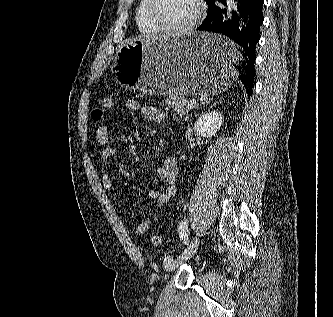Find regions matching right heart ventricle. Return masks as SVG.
Masks as SVG:
<instances>
[{
  "instance_id": "obj_1",
  "label": "right heart ventricle",
  "mask_w": 333,
  "mask_h": 317,
  "mask_svg": "<svg viewBox=\"0 0 333 317\" xmlns=\"http://www.w3.org/2000/svg\"><path fill=\"white\" fill-rule=\"evenodd\" d=\"M147 0H140L136 9V24L140 32L144 34H156L160 30L149 20L146 13Z\"/></svg>"
}]
</instances>
